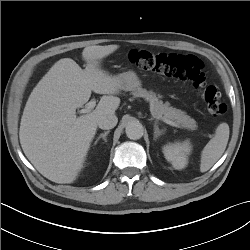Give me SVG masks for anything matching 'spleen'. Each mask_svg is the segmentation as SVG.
<instances>
[{
  "label": "spleen",
  "instance_id": "spleen-1",
  "mask_svg": "<svg viewBox=\"0 0 250 250\" xmlns=\"http://www.w3.org/2000/svg\"><path fill=\"white\" fill-rule=\"evenodd\" d=\"M229 125L221 123L215 130L214 137L206 144L201 153L200 171H208L223 155L228 139Z\"/></svg>",
  "mask_w": 250,
  "mask_h": 250
}]
</instances>
